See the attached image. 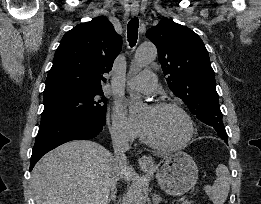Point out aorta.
I'll return each instance as SVG.
<instances>
[{
    "instance_id": "aorta-1",
    "label": "aorta",
    "mask_w": 261,
    "mask_h": 204,
    "mask_svg": "<svg viewBox=\"0 0 261 204\" xmlns=\"http://www.w3.org/2000/svg\"><path fill=\"white\" fill-rule=\"evenodd\" d=\"M157 56V49L152 43L140 45L134 56L133 64L136 67H144L154 60ZM145 105L140 100H132L129 105V114L132 118L139 117ZM128 204H143V186L141 183H135L128 195Z\"/></svg>"
}]
</instances>
